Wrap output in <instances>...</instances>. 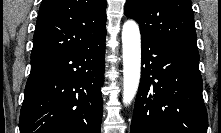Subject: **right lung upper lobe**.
<instances>
[{
  "label": "right lung upper lobe",
  "mask_w": 221,
  "mask_h": 133,
  "mask_svg": "<svg viewBox=\"0 0 221 133\" xmlns=\"http://www.w3.org/2000/svg\"><path fill=\"white\" fill-rule=\"evenodd\" d=\"M106 0H43L31 58L75 50L106 32Z\"/></svg>",
  "instance_id": "obj_1"
}]
</instances>
